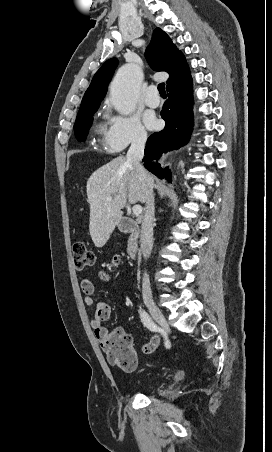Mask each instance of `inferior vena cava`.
I'll use <instances>...</instances> for the list:
<instances>
[{"label":"inferior vena cava","instance_id":"602c4592","mask_svg":"<svg viewBox=\"0 0 272 452\" xmlns=\"http://www.w3.org/2000/svg\"><path fill=\"white\" fill-rule=\"evenodd\" d=\"M147 140L145 132L139 133L132 141L127 152V162L133 166L143 181V202L146 205L145 214L141 225L140 246L145 260L149 258L153 248V223L155 215L153 181L141 161L144 157V148ZM142 296L144 300L152 299V291L148 274L145 272L142 278Z\"/></svg>","mask_w":272,"mask_h":452}]
</instances>
